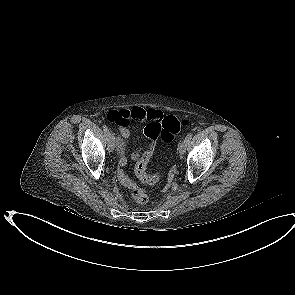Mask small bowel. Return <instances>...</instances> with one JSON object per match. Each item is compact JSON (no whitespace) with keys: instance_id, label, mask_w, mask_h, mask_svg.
Here are the masks:
<instances>
[{"instance_id":"c3829d8e","label":"small bowel","mask_w":295,"mask_h":295,"mask_svg":"<svg viewBox=\"0 0 295 295\" xmlns=\"http://www.w3.org/2000/svg\"><path fill=\"white\" fill-rule=\"evenodd\" d=\"M117 115L118 119L114 116ZM110 121L115 122L118 125L121 137L118 140L117 147L119 153L120 164L123 166L127 159V140L131 135V129L129 127L130 121H149L156 122L163 118V114L159 110L155 109H144L141 107H134L130 110L122 111H111L108 114ZM149 140V139H148ZM142 151L140 149L132 151L129 156L132 160H138L141 156ZM117 181L122 183L124 187H134L135 189H140L142 187V182L140 180H134L133 178H128L125 174V169L123 167H118L116 169Z\"/></svg>"}]
</instances>
